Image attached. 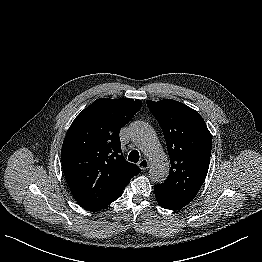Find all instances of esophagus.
<instances>
[{
	"label": "esophagus",
	"mask_w": 262,
	"mask_h": 262,
	"mask_svg": "<svg viewBox=\"0 0 262 262\" xmlns=\"http://www.w3.org/2000/svg\"><path fill=\"white\" fill-rule=\"evenodd\" d=\"M138 166L142 169V170H146L149 168V161L147 159H142L138 162Z\"/></svg>",
	"instance_id": "obj_1"
}]
</instances>
